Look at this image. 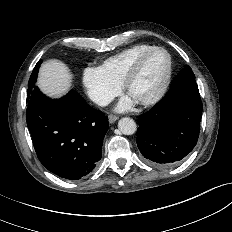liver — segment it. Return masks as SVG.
Segmentation results:
<instances>
[{"mask_svg":"<svg viewBox=\"0 0 232 232\" xmlns=\"http://www.w3.org/2000/svg\"><path fill=\"white\" fill-rule=\"evenodd\" d=\"M72 84V74L63 62L52 59L40 68L38 86L52 97L63 95Z\"/></svg>","mask_w":232,"mask_h":232,"instance_id":"liver-1","label":"liver"}]
</instances>
